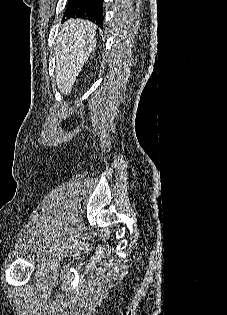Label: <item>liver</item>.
I'll use <instances>...</instances> for the list:
<instances>
[{
  "label": "liver",
  "mask_w": 227,
  "mask_h": 315,
  "mask_svg": "<svg viewBox=\"0 0 227 315\" xmlns=\"http://www.w3.org/2000/svg\"><path fill=\"white\" fill-rule=\"evenodd\" d=\"M96 26L87 20L71 19L65 22L56 40V83L68 95L96 46Z\"/></svg>",
  "instance_id": "6515ba94"
}]
</instances>
